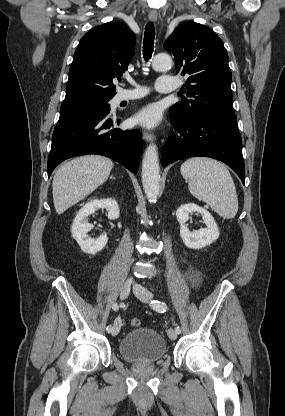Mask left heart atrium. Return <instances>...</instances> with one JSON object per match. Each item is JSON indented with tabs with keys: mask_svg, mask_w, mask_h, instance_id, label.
I'll use <instances>...</instances> for the list:
<instances>
[{
	"mask_svg": "<svg viewBox=\"0 0 285 416\" xmlns=\"http://www.w3.org/2000/svg\"><path fill=\"white\" fill-rule=\"evenodd\" d=\"M135 120L144 127L153 128L158 125L160 115L155 106L148 105L136 115Z\"/></svg>",
	"mask_w": 285,
	"mask_h": 416,
	"instance_id": "39dd6f15",
	"label": "left heart atrium"
}]
</instances>
